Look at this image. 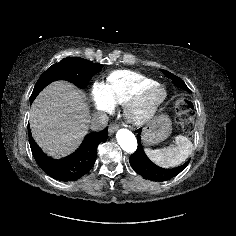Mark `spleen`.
I'll use <instances>...</instances> for the list:
<instances>
[{
  "mask_svg": "<svg viewBox=\"0 0 236 236\" xmlns=\"http://www.w3.org/2000/svg\"><path fill=\"white\" fill-rule=\"evenodd\" d=\"M193 144L183 135L175 138V145L163 149H145L151 161L163 168H172L183 163L192 153Z\"/></svg>",
  "mask_w": 236,
  "mask_h": 236,
  "instance_id": "3e777b00",
  "label": "spleen"
}]
</instances>
